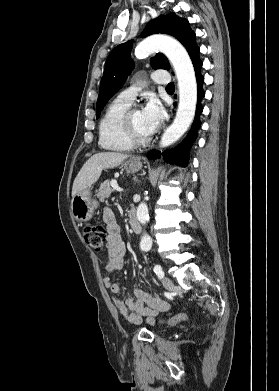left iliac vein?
<instances>
[{
  "label": "left iliac vein",
  "instance_id": "4c4485c4",
  "mask_svg": "<svg viewBox=\"0 0 279 391\" xmlns=\"http://www.w3.org/2000/svg\"><path fill=\"white\" fill-rule=\"evenodd\" d=\"M162 284L165 288L171 289L173 287V282L170 278L168 277H163L162 279Z\"/></svg>",
  "mask_w": 279,
  "mask_h": 391
}]
</instances>
